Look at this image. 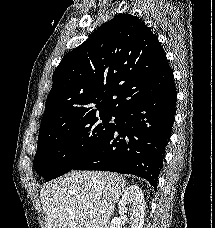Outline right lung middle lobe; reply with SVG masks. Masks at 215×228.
I'll list each match as a JSON object with an SVG mask.
<instances>
[{"instance_id":"right-lung-middle-lobe-1","label":"right lung middle lobe","mask_w":215,"mask_h":228,"mask_svg":"<svg viewBox=\"0 0 215 228\" xmlns=\"http://www.w3.org/2000/svg\"><path fill=\"white\" fill-rule=\"evenodd\" d=\"M112 116L114 123H110ZM116 113L104 112L40 129L33 166L46 181L71 171L114 129Z\"/></svg>"}]
</instances>
